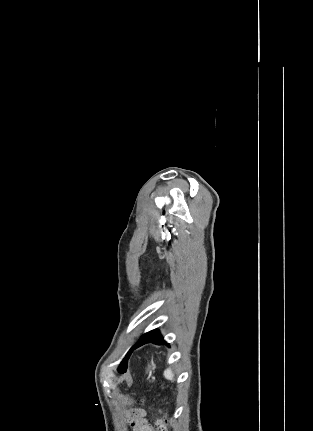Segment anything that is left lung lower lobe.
<instances>
[{"mask_svg":"<svg viewBox=\"0 0 313 431\" xmlns=\"http://www.w3.org/2000/svg\"><path fill=\"white\" fill-rule=\"evenodd\" d=\"M146 343H154L157 345L160 344H167L163 337L160 335L159 331L157 329L152 330L150 332H147L145 334H143L139 340L137 341V343L131 348V352L135 349L138 348ZM125 371H121V373H124Z\"/></svg>","mask_w":313,"mask_h":431,"instance_id":"left-lung-lower-lobe-1","label":"left lung lower lobe"}]
</instances>
